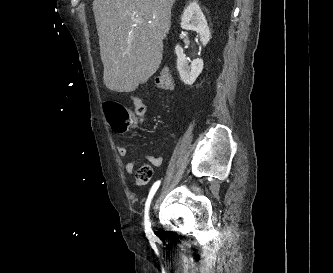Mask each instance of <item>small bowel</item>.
<instances>
[{"mask_svg":"<svg viewBox=\"0 0 333 273\" xmlns=\"http://www.w3.org/2000/svg\"><path fill=\"white\" fill-rule=\"evenodd\" d=\"M146 109H147V104L145 103L144 100H141L137 96H132V113H133V118H137L138 123L135 125L139 126L142 123H145L146 121ZM117 152L120 157L126 158L128 157V150L125 146L123 145H118L117 146ZM145 160L150 163L154 167H160L162 166L164 162V157L163 156H153L150 154H145L144 155ZM136 167V162L134 160H130L125 164V171L129 174L133 173Z\"/></svg>","mask_w":333,"mask_h":273,"instance_id":"c3829d8e","label":"small bowel"}]
</instances>
